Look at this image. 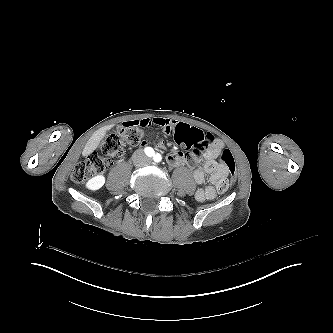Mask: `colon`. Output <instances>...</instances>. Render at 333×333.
<instances>
[{"mask_svg": "<svg viewBox=\"0 0 333 333\" xmlns=\"http://www.w3.org/2000/svg\"><path fill=\"white\" fill-rule=\"evenodd\" d=\"M170 136L173 141L184 144L191 149V158H201L205 149H210L215 144V137L204 127L191 129L190 125L181 122L177 129H170ZM144 134L138 128L117 129L116 133L108 136L101 145L102 156H91L83 163L75 166L72 172L74 182H82L108 169L122 155L124 147L136 146L143 141ZM222 162L226 165L231 174L229 179L221 181L219 190L226 191L235 181L236 162L229 150H224L221 155Z\"/></svg>", "mask_w": 333, "mask_h": 333, "instance_id": "colon-1", "label": "colon"}]
</instances>
